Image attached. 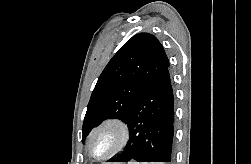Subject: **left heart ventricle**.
<instances>
[{"label": "left heart ventricle", "mask_w": 251, "mask_h": 164, "mask_svg": "<svg viewBox=\"0 0 251 164\" xmlns=\"http://www.w3.org/2000/svg\"><path fill=\"white\" fill-rule=\"evenodd\" d=\"M114 143V136L110 131L100 133L92 144V150L95 155L106 153Z\"/></svg>", "instance_id": "1"}]
</instances>
